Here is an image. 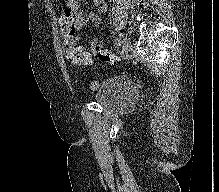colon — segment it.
<instances>
[{"mask_svg": "<svg viewBox=\"0 0 219 192\" xmlns=\"http://www.w3.org/2000/svg\"><path fill=\"white\" fill-rule=\"evenodd\" d=\"M91 50L101 62L109 64L119 62V58L111 50L97 42L92 44ZM63 51L67 61L72 65H90L92 63L91 53L80 50L71 33H68L63 39Z\"/></svg>", "mask_w": 219, "mask_h": 192, "instance_id": "1", "label": "colon"}]
</instances>
